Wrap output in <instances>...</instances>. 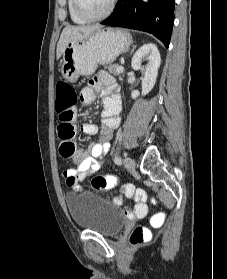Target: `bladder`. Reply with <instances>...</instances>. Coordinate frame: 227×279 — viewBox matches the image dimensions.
<instances>
[{"label": "bladder", "mask_w": 227, "mask_h": 279, "mask_svg": "<svg viewBox=\"0 0 227 279\" xmlns=\"http://www.w3.org/2000/svg\"><path fill=\"white\" fill-rule=\"evenodd\" d=\"M66 204L78 228L113 236L124 226L125 219L121 208L93 192L67 193Z\"/></svg>", "instance_id": "obj_1"}]
</instances>
